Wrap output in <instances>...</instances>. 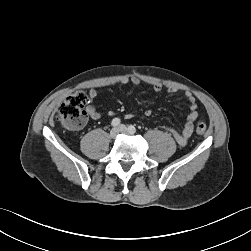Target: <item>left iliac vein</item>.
Wrapping results in <instances>:
<instances>
[{"label": "left iliac vein", "instance_id": "1", "mask_svg": "<svg viewBox=\"0 0 251 251\" xmlns=\"http://www.w3.org/2000/svg\"><path fill=\"white\" fill-rule=\"evenodd\" d=\"M119 131H120L121 133H123V134H132V133L129 131V129H128L125 125H123V124H121V125L119 126Z\"/></svg>", "mask_w": 251, "mask_h": 251}]
</instances>
